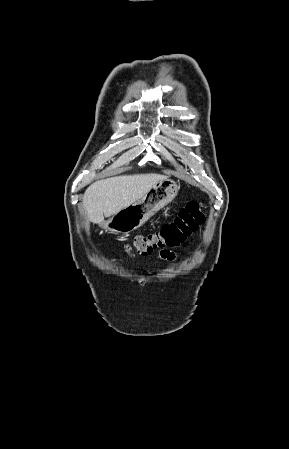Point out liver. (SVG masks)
<instances>
[{
	"instance_id": "obj_1",
	"label": "liver",
	"mask_w": 289,
	"mask_h": 449,
	"mask_svg": "<svg viewBox=\"0 0 289 449\" xmlns=\"http://www.w3.org/2000/svg\"><path fill=\"white\" fill-rule=\"evenodd\" d=\"M164 175L134 174L99 180L83 195V208L89 221L102 225L109 218L140 200L153 186L165 180Z\"/></svg>"
}]
</instances>
